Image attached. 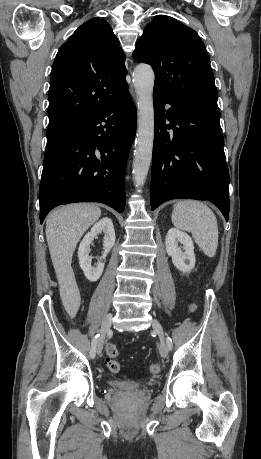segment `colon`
<instances>
[{"instance_id":"5ec220e1","label":"colon","mask_w":261,"mask_h":459,"mask_svg":"<svg viewBox=\"0 0 261 459\" xmlns=\"http://www.w3.org/2000/svg\"><path fill=\"white\" fill-rule=\"evenodd\" d=\"M191 309L193 310L194 309V306L191 307ZM106 354L107 356L109 357V359L107 360V368L109 369V371L113 372V373H116L120 370V364L118 361L114 360V358L118 355V348L116 345L114 344H108L106 346ZM161 370L160 368V365L159 364H151L150 367H149V371L152 373V374H157L159 373Z\"/></svg>"}]
</instances>
